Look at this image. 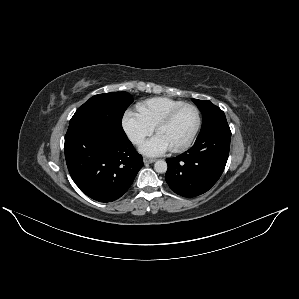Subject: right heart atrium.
<instances>
[{
  "label": "right heart atrium",
  "mask_w": 299,
  "mask_h": 299,
  "mask_svg": "<svg viewBox=\"0 0 299 299\" xmlns=\"http://www.w3.org/2000/svg\"><path fill=\"white\" fill-rule=\"evenodd\" d=\"M122 126L129 139L137 145L141 144L155 130L139 113L133 110L125 112Z\"/></svg>",
  "instance_id": "right-heart-atrium-1"
}]
</instances>
